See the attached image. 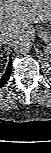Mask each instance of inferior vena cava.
Here are the masks:
<instances>
[{"label": "inferior vena cava", "mask_w": 51, "mask_h": 153, "mask_svg": "<svg viewBox=\"0 0 51 153\" xmlns=\"http://www.w3.org/2000/svg\"><path fill=\"white\" fill-rule=\"evenodd\" d=\"M9 40V35H6L5 33H0V42L6 43Z\"/></svg>", "instance_id": "1"}]
</instances>
